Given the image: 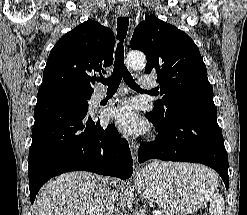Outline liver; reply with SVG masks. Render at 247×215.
<instances>
[{
    "label": "liver",
    "mask_w": 247,
    "mask_h": 215,
    "mask_svg": "<svg viewBox=\"0 0 247 215\" xmlns=\"http://www.w3.org/2000/svg\"><path fill=\"white\" fill-rule=\"evenodd\" d=\"M194 168L212 173L202 166ZM108 181L91 172L63 174L40 190L34 204L35 215H104Z\"/></svg>",
    "instance_id": "1"
}]
</instances>
